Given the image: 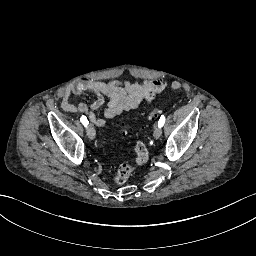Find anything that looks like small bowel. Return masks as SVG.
I'll use <instances>...</instances> for the list:
<instances>
[{
    "mask_svg": "<svg viewBox=\"0 0 256 256\" xmlns=\"http://www.w3.org/2000/svg\"><path fill=\"white\" fill-rule=\"evenodd\" d=\"M166 87L164 81L148 79L140 82L109 81L103 82L94 79H83L71 83L59 92L61 108L69 113L88 115L97 127H103L107 119H113L125 111L138 108L142 103H152L156 95ZM89 91L96 96L95 101L89 106L84 102L74 104L70 100L72 94H81ZM109 102L104 109L105 118H97L96 112Z\"/></svg>",
    "mask_w": 256,
    "mask_h": 256,
    "instance_id": "1",
    "label": "small bowel"
}]
</instances>
